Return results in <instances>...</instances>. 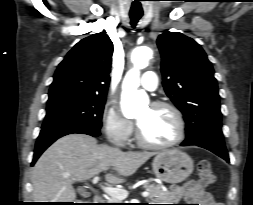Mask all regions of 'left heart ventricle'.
I'll use <instances>...</instances> for the list:
<instances>
[{
	"label": "left heart ventricle",
	"mask_w": 253,
	"mask_h": 205,
	"mask_svg": "<svg viewBox=\"0 0 253 205\" xmlns=\"http://www.w3.org/2000/svg\"><path fill=\"white\" fill-rule=\"evenodd\" d=\"M135 119L142 136L151 143L163 144L176 137L177 123L168 109L146 106L137 113Z\"/></svg>",
	"instance_id": "obj_1"
}]
</instances>
